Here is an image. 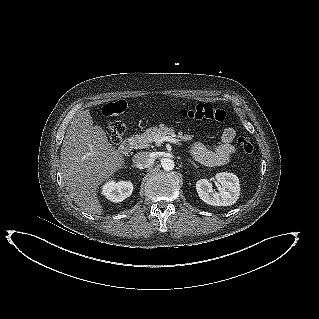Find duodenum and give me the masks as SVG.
Wrapping results in <instances>:
<instances>
[{
    "instance_id": "obj_1",
    "label": "duodenum",
    "mask_w": 319,
    "mask_h": 319,
    "mask_svg": "<svg viewBox=\"0 0 319 319\" xmlns=\"http://www.w3.org/2000/svg\"><path fill=\"white\" fill-rule=\"evenodd\" d=\"M133 149V140L131 138H127L119 146V152L123 155L129 154Z\"/></svg>"
}]
</instances>
